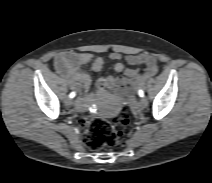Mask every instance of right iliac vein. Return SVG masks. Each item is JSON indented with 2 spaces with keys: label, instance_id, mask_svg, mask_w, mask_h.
Returning <instances> with one entry per match:
<instances>
[{
  "label": "right iliac vein",
  "instance_id": "obj_1",
  "mask_svg": "<svg viewBox=\"0 0 212 183\" xmlns=\"http://www.w3.org/2000/svg\"><path fill=\"white\" fill-rule=\"evenodd\" d=\"M72 104H73V100H72L70 97H67V98L65 99V105H66L67 107H71Z\"/></svg>",
  "mask_w": 212,
  "mask_h": 183
}]
</instances>
